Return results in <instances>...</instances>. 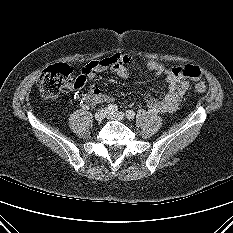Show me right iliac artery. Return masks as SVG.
Listing matches in <instances>:
<instances>
[{"mask_svg": "<svg viewBox=\"0 0 233 233\" xmlns=\"http://www.w3.org/2000/svg\"><path fill=\"white\" fill-rule=\"evenodd\" d=\"M107 109L109 112L115 113L117 111V106L115 104H109Z\"/></svg>", "mask_w": 233, "mask_h": 233, "instance_id": "right-iliac-artery-1", "label": "right iliac artery"}]
</instances>
